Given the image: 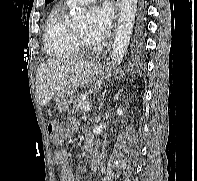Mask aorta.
Segmentation results:
<instances>
[{
    "label": "aorta",
    "instance_id": "obj_1",
    "mask_svg": "<svg viewBox=\"0 0 197 181\" xmlns=\"http://www.w3.org/2000/svg\"><path fill=\"white\" fill-rule=\"evenodd\" d=\"M137 1L138 0H122L117 32L111 53L113 67L121 63L127 51L134 25ZM70 16L72 22L75 24L82 23L85 18L84 13L78 7H73L70 10Z\"/></svg>",
    "mask_w": 197,
    "mask_h": 181
}]
</instances>
